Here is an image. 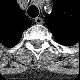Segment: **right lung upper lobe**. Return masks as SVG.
Returning <instances> with one entry per match:
<instances>
[{"mask_svg": "<svg viewBox=\"0 0 80 80\" xmlns=\"http://www.w3.org/2000/svg\"><path fill=\"white\" fill-rule=\"evenodd\" d=\"M31 26V21L19 10L16 3L10 4L0 15V41L6 46H14L24 30Z\"/></svg>", "mask_w": 80, "mask_h": 80, "instance_id": "obj_1", "label": "right lung upper lobe"}]
</instances>
